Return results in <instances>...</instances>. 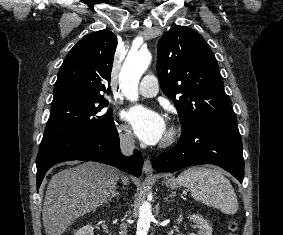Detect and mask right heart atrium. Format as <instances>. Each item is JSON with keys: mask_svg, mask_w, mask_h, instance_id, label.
<instances>
[{"mask_svg": "<svg viewBox=\"0 0 283 235\" xmlns=\"http://www.w3.org/2000/svg\"><path fill=\"white\" fill-rule=\"evenodd\" d=\"M119 136L125 143H131L134 139V134L130 126L124 123H119L117 126Z\"/></svg>", "mask_w": 283, "mask_h": 235, "instance_id": "right-heart-atrium-1", "label": "right heart atrium"}]
</instances>
